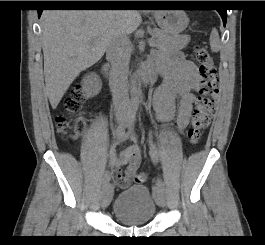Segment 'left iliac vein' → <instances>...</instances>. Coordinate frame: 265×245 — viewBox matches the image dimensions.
Masks as SVG:
<instances>
[{"label": "left iliac vein", "mask_w": 265, "mask_h": 245, "mask_svg": "<svg viewBox=\"0 0 265 245\" xmlns=\"http://www.w3.org/2000/svg\"><path fill=\"white\" fill-rule=\"evenodd\" d=\"M132 126H133V121L128 124L129 130H131ZM154 198H155V201H156L158 206L164 207L166 205V198H165V194H164L163 189L158 190L154 194Z\"/></svg>", "instance_id": "1"}]
</instances>
